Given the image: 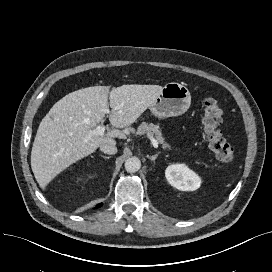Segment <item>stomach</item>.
<instances>
[{"mask_svg": "<svg viewBox=\"0 0 272 272\" xmlns=\"http://www.w3.org/2000/svg\"><path fill=\"white\" fill-rule=\"evenodd\" d=\"M191 104L188 88L180 83H167L154 103L149 107L151 113L158 118L182 115Z\"/></svg>", "mask_w": 272, "mask_h": 272, "instance_id": "1", "label": "stomach"}]
</instances>
